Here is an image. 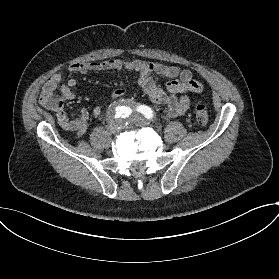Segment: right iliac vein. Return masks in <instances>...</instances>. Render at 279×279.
Returning <instances> with one entry per match:
<instances>
[{
  "label": "right iliac vein",
  "mask_w": 279,
  "mask_h": 279,
  "mask_svg": "<svg viewBox=\"0 0 279 279\" xmlns=\"http://www.w3.org/2000/svg\"><path fill=\"white\" fill-rule=\"evenodd\" d=\"M115 120H113L111 123L108 124V129L112 132H116L117 126L115 125Z\"/></svg>",
  "instance_id": "right-iliac-vein-1"
}]
</instances>
